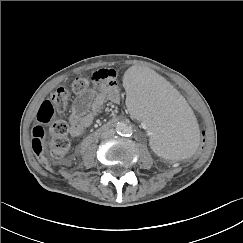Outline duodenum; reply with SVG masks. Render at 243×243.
<instances>
[{
	"label": "duodenum",
	"mask_w": 243,
	"mask_h": 243,
	"mask_svg": "<svg viewBox=\"0 0 243 243\" xmlns=\"http://www.w3.org/2000/svg\"><path fill=\"white\" fill-rule=\"evenodd\" d=\"M113 123L112 122H107L104 125H102L101 127L97 128L96 130H94L93 132H91L81 143V150H86L91 144L92 142H94L97 138H99L101 136V134L107 130H109L110 128H112Z\"/></svg>",
	"instance_id": "1"
}]
</instances>
